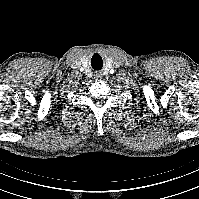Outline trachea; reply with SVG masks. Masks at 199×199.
<instances>
[{
	"label": "trachea",
	"instance_id": "obj_1",
	"mask_svg": "<svg viewBox=\"0 0 199 199\" xmlns=\"http://www.w3.org/2000/svg\"><path fill=\"white\" fill-rule=\"evenodd\" d=\"M93 68H94L95 70H98V68H97V67H95V66H93Z\"/></svg>",
	"mask_w": 199,
	"mask_h": 199
}]
</instances>
